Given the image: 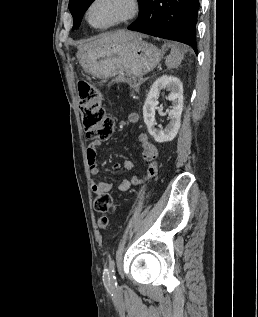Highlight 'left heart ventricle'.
Masks as SVG:
<instances>
[{"label": "left heart ventricle", "instance_id": "1", "mask_svg": "<svg viewBox=\"0 0 258 317\" xmlns=\"http://www.w3.org/2000/svg\"><path fill=\"white\" fill-rule=\"evenodd\" d=\"M127 12V6L113 0H99L91 9V20L96 24L111 23Z\"/></svg>", "mask_w": 258, "mask_h": 317}]
</instances>
